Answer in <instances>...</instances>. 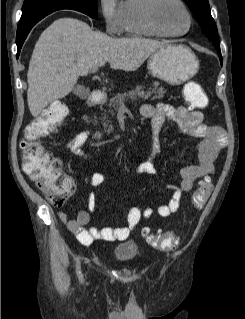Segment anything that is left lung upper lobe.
Instances as JSON below:
<instances>
[{
    "mask_svg": "<svg viewBox=\"0 0 245 319\" xmlns=\"http://www.w3.org/2000/svg\"><path fill=\"white\" fill-rule=\"evenodd\" d=\"M193 12L198 24L206 36L213 42L216 49H220L216 24L210 13L208 0H184Z\"/></svg>",
    "mask_w": 245,
    "mask_h": 319,
    "instance_id": "left-lung-upper-lobe-1",
    "label": "left lung upper lobe"
}]
</instances>
